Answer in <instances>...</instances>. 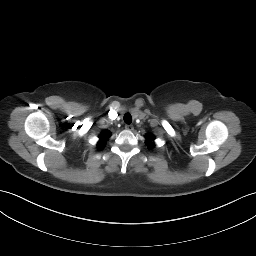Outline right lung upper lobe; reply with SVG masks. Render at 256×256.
<instances>
[{
	"label": "right lung upper lobe",
	"instance_id": "cb5924a9",
	"mask_svg": "<svg viewBox=\"0 0 256 256\" xmlns=\"http://www.w3.org/2000/svg\"><path fill=\"white\" fill-rule=\"evenodd\" d=\"M109 135H110V133H109L108 131H104V132L100 135V140H99V142H98V144H97V147H98L99 149H103V147L105 146L106 141H107Z\"/></svg>",
	"mask_w": 256,
	"mask_h": 256
}]
</instances>
